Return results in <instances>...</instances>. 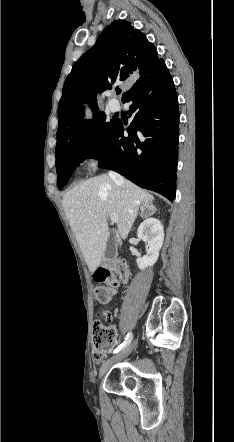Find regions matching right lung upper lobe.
Segmentation results:
<instances>
[{"label": "right lung upper lobe", "mask_w": 234, "mask_h": 442, "mask_svg": "<svg viewBox=\"0 0 234 442\" xmlns=\"http://www.w3.org/2000/svg\"><path fill=\"white\" fill-rule=\"evenodd\" d=\"M163 62L155 46L128 21L116 20L107 26L95 45L74 63L65 80L58 106L56 148L85 122L82 104L89 103L95 113L97 92L136 77L138 82ZM128 92L123 93L122 100Z\"/></svg>", "instance_id": "right-lung-upper-lobe-1"}]
</instances>
